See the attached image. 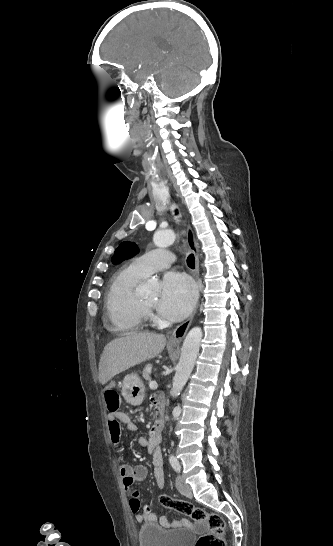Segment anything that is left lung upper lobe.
Instances as JSON below:
<instances>
[{
  "label": "left lung upper lobe",
  "instance_id": "left-lung-upper-lobe-1",
  "mask_svg": "<svg viewBox=\"0 0 333 546\" xmlns=\"http://www.w3.org/2000/svg\"><path fill=\"white\" fill-rule=\"evenodd\" d=\"M138 247L132 242H122L119 247L115 250L114 256L112 257V262L117 264L122 262L125 259L133 257L138 253Z\"/></svg>",
  "mask_w": 333,
  "mask_h": 546
}]
</instances>
